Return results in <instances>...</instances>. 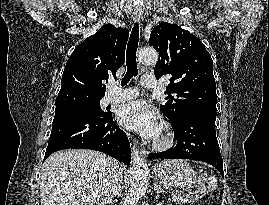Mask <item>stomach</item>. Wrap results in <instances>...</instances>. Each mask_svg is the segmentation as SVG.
<instances>
[{"mask_svg":"<svg viewBox=\"0 0 269 205\" xmlns=\"http://www.w3.org/2000/svg\"><path fill=\"white\" fill-rule=\"evenodd\" d=\"M153 173L161 182L186 192L187 200H193L201 195L200 191L195 189L197 182L195 173L185 160L163 161L154 167Z\"/></svg>","mask_w":269,"mask_h":205,"instance_id":"1","label":"stomach"}]
</instances>
